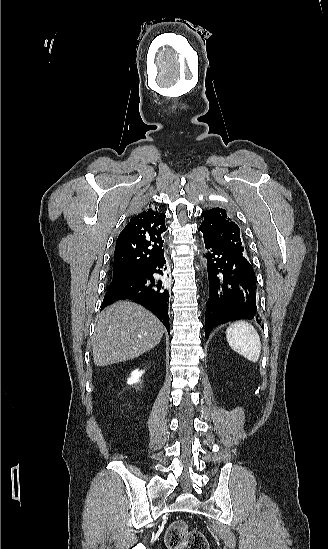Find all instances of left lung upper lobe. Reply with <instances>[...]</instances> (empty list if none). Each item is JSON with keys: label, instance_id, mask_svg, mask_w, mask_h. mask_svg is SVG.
I'll return each instance as SVG.
<instances>
[{"label": "left lung upper lobe", "instance_id": "5c2ea615", "mask_svg": "<svg viewBox=\"0 0 328 549\" xmlns=\"http://www.w3.org/2000/svg\"><path fill=\"white\" fill-rule=\"evenodd\" d=\"M204 221L199 229L203 237L233 252L245 256L240 229L225 209L212 208L202 213Z\"/></svg>", "mask_w": 328, "mask_h": 549}]
</instances>
